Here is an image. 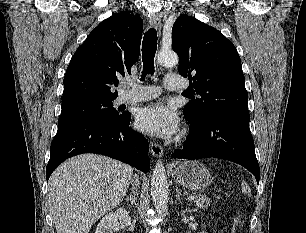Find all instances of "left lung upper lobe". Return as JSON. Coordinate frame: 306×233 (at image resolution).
<instances>
[{"label": "left lung upper lobe", "mask_w": 306, "mask_h": 233, "mask_svg": "<svg viewBox=\"0 0 306 233\" xmlns=\"http://www.w3.org/2000/svg\"><path fill=\"white\" fill-rule=\"evenodd\" d=\"M172 49L179 56V73L190 80L192 97L183 110L190 124L219 113L249 116L241 60L221 32L181 15L173 25Z\"/></svg>", "instance_id": "1"}]
</instances>
